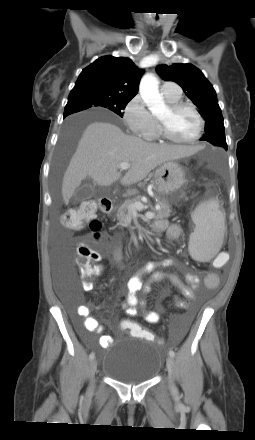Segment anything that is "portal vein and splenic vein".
<instances>
[{
  "label": "portal vein and splenic vein",
  "instance_id": "portal-vein-and-splenic-vein-1",
  "mask_svg": "<svg viewBox=\"0 0 255 440\" xmlns=\"http://www.w3.org/2000/svg\"><path fill=\"white\" fill-rule=\"evenodd\" d=\"M131 167V165L127 162H121L118 165V168L121 170H127ZM146 207L141 203V202H136L134 204H132L131 206H129V211L132 214H136L137 211H142L143 209H145ZM146 218L148 219H153L155 217V213L153 212H147L145 214Z\"/></svg>",
  "mask_w": 255,
  "mask_h": 440
}]
</instances>
